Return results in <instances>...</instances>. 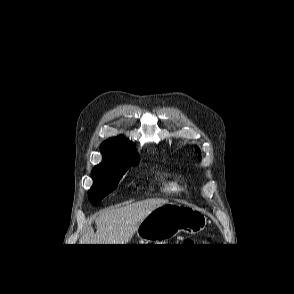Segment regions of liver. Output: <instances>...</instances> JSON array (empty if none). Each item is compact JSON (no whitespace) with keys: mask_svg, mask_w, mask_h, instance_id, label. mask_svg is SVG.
<instances>
[{"mask_svg":"<svg viewBox=\"0 0 294 294\" xmlns=\"http://www.w3.org/2000/svg\"><path fill=\"white\" fill-rule=\"evenodd\" d=\"M167 202L165 199H146L123 207L106 209L95 219L96 233L89 224L79 242L80 244H128L145 217Z\"/></svg>","mask_w":294,"mask_h":294,"instance_id":"6515ba94","label":"liver"}]
</instances>
